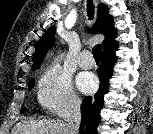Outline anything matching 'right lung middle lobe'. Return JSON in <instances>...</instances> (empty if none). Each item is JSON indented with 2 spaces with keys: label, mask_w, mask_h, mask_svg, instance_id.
<instances>
[{
  "label": "right lung middle lobe",
  "mask_w": 153,
  "mask_h": 134,
  "mask_svg": "<svg viewBox=\"0 0 153 134\" xmlns=\"http://www.w3.org/2000/svg\"><path fill=\"white\" fill-rule=\"evenodd\" d=\"M29 86H30V88L34 86V79H31V80H30ZM25 110H26V108H25V107H22L21 113H24Z\"/></svg>",
  "instance_id": "dd1d6c3e"
}]
</instances>
